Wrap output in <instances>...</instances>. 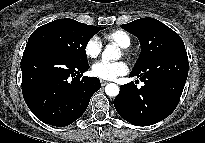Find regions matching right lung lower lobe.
Instances as JSON below:
<instances>
[{
    "instance_id": "1",
    "label": "right lung lower lobe",
    "mask_w": 205,
    "mask_h": 143,
    "mask_svg": "<svg viewBox=\"0 0 205 143\" xmlns=\"http://www.w3.org/2000/svg\"><path fill=\"white\" fill-rule=\"evenodd\" d=\"M88 69V63H75L46 45L27 43L21 60L22 93L31 112L52 126L76 121L101 87L98 78L82 77Z\"/></svg>"
}]
</instances>
